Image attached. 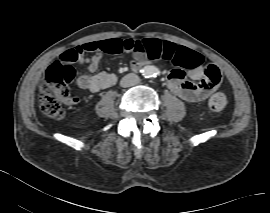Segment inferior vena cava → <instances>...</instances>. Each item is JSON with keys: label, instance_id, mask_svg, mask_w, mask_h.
<instances>
[{"label": "inferior vena cava", "instance_id": "602c4592", "mask_svg": "<svg viewBox=\"0 0 270 213\" xmlns=\"http://www.w3.org/2000/svg\"><path fill=\"white\" fill-rule=\"evenodd\" d=\"M139 82H140V78L138 77V75L134 73H130L122 78L120 84L123 87H131V86L137 85Z\"/></svg>", "mask_w": 270, "mask_h": 213}]
</instances>
